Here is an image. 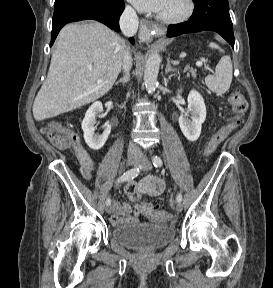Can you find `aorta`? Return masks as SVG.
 <instances>
[{
    "mask_svg": "<svg viewBox=\"0 0 273 288\" xmlns=\"http://www.w3.org/2000/svg\"><path fill=\"white\" fill-rule=\"evenodd\" d=\"M160 56L152 52L146 61L144 69V83L148 93L152 94L157 87V78L160 68Z\"/></svg>",
    "mask_w": 273,
    "mask_h": 288,
    "instance_id": "aorta-1",
    "label": "aorta"
}]
</instances>
